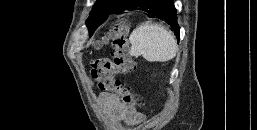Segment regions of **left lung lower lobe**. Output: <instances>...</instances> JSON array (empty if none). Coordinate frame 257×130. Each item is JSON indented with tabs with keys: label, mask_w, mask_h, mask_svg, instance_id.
Masks as SVG:
<instances>
[{
	"label": "left lung lower lobe",
	"mask_w": 257,
	"mask_h": 130,
	"mask_svg": "<svg viewBox=\"0 0 257 130\" xmlns=\"http://www.w3.org/2000/svg\"><path fill=\"white\" fill-rule=\"evenodd\" d=\"M124 10H141L147 13L148 17H157L169 23L172 31L179 40V26L177 23L176 9L171 0H128L122 7L114 10V12H121Z\"/></svg>",
	"instance_id": "0a47b994"
}]
</instances>
